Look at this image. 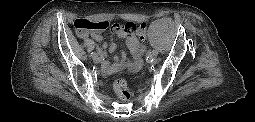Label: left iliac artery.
Returning <instances> with one entry per match:
<instances>
[{
    "mask_svg": "<svg viewBox=\"0 0 255 122\" xmlns=\"http://www.w3.org/2000/svg\"><path fill=\"white\" fill-rule=\"evenodd\" d=\"M152 54L157 56L158 55V51L157 50H152Z\"/></svg>",
    "mask_w": 255,
    "mask_h": 122,
    "instance_id": "left-iliac-artery-1",
    "label": "left iliac artery"
}]
</instances>
